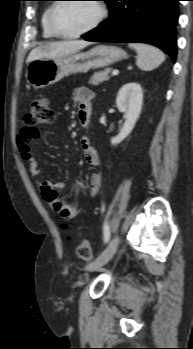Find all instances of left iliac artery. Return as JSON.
<instances>
[{
	"instance_id": "1",
	"label": "left iliac artery",
	"mask_w": 193,
	"mask_h": 349,
	"mask_svg": "<svg viewBox=\"0 0 193 349\" xmlns=\"http://www.w3.org/2000/svg\"><path fill=\"white\" fill-rule=\"evenodd\" d=\"M103 233H104V241L105 243H107L110 239V228L107 223L104 224Z\"/></svg>"
}]
</instances>
